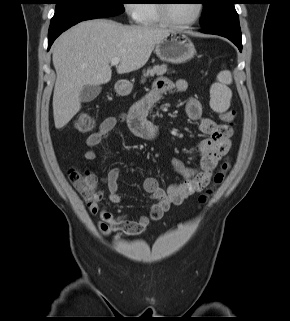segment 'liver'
<instances>
[{"label": "liver", "instance_id": "obj_1", "mask_svg": "<svg viewBox=\"0 0 290 321\" xmlns=\"http://www.w3.org/2000/svg\"><path fill=\"white\" fill-rule=\"evenodd\" d=\"M169 32L148 25L126 26L108 19L83 21L64 32L52 48L57 74L53 94L55 127L63 128L79 112L84 86L111 80L113 58L120 59L118 74L140 69Z\"/></svg>", "mask_w": 290, "mask_h": 321}]
</instances>
